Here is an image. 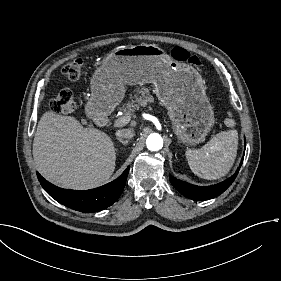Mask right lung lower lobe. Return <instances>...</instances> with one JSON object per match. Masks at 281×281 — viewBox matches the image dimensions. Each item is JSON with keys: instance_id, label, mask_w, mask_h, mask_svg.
I'll list each match as a JSON object with an SVG mask.
<instances>
[{"instance_id": "98d812e1", "label": "right lung lower lobe", "mask_w": 281, "mask_h": 281, "mask_svg": "<svg viewBox=\"0 0 281 281\" xmlns=\"http://www.w3.org/2000/svg\"><path fill=\"white\" fill-rule=\"evenodd\" d=\"M129 167L111 183L91 190H68L46 181L38 172L37 177L44 190L57 202L81 212H97L112 205L121 195Z\"/></svg>"}]
</instances>
